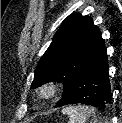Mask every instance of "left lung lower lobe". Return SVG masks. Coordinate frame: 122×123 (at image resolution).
I'll list each match as a JSON object with an SVG mask.
<instances>
[{
  "instance_id": "obj_1",
  "label": "left lung lower lobe",
  "mask_w": 122,
  "mask_h": 123,
  "mask_svg": "<svg viewBox=\"0 0 122 123\" xmlns=\"http://www.w3.org/2000/svg\"><path fill=\"white\" fill-rule=\"evenodd\" d=\"M111 100L107 53L104 46L78 72L71 86L55 105L86 104L102 108Z\"/></svg>"
}]
</instances>
